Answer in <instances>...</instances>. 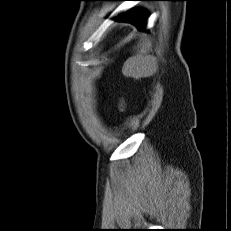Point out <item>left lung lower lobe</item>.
<instances>
[{
	"label": "left lung lower lobe",
	"mask_w": 231,
	"mask_h": 231,
	"mask_svg": "<svg viewBox=\"0 0 231 231\" xmlns=\"http://www.w3.org/2000/svg\"><path fill=\"white\" fill-rule=\"evenodd\" d=\"M110 1H124V0H110ZM150 1V0H141ZM147 16L141 11L130 10L116 18L117 21H126L135 24L140 30L145 29Z\"/></svg>",
	"instance_id": "left-lung-lower-lobe-1"
}]
</instances>
